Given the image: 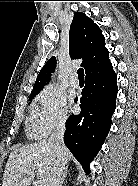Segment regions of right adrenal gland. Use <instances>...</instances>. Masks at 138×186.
Here are the masks:
<instances>
[{
    "label": "right adrenal gland",
    "mask_w": 138,
    "mask_h": 186,
    "mask_svg": "<svg viewBox=\"0 0 138 186\" xmlns=\"http://www.w3.org/2000/svg\"><path fill=\"white\" fill-rule=\"evenodd\" d=\"M68 168H69V166L67 165L66 168H65V171L63 173V176L61 178L59 186H62V184L64 183V180H65V178L67 177V174H68Z\"/></svg>",
    "instance_id": "right-adrenal-gland-1"
}]
</instances>
